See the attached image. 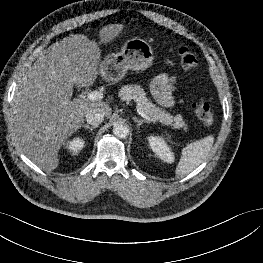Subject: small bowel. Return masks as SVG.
Wrapping results in <instances>:
<instances>
[{
  "label": "small bowel",
  "instance_id": "small-bowel-1",
  "mask_svg": "<svg viewBox=\"0 0 263 263\" xmlns=\"http://www.w3.org/2000/svg\"><path fill=\"white\" fill-rule=\"evenodd\" d=\"M173 82L174 78L166 74H159L152 82L151 92L155 99L163 106H171L173 104Z\"/></svg>",
  "mask_w": 263,
  "mask_h": 263
}]
</instances>
